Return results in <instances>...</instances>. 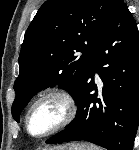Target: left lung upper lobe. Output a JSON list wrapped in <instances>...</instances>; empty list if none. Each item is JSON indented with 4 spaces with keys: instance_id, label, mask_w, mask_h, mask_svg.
<instances>
[{
    "instance_id": "5c2ea615",
    "label": "left lung upper lobe",
    "mask_w": 139,
    "mask_h": 150,
    "mask_svg": "<svg viewBox=\"0 0 139 150\" xmlns=\"http://www.w3.org/2000/svg\"><path fill=\"white\" fill-rule=\"evenodd\" d=\"M116 0H47L29 25L19 55L13 118L39 91L59 85L74 98Z\"/></svg>"
}]
</instances>
